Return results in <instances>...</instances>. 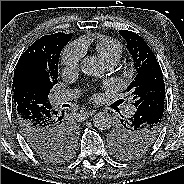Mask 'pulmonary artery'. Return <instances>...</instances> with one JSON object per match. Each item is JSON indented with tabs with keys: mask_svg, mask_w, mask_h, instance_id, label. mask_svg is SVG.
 I'll list each match as a JSON object with an SVG mask.
<instances>
[{
	"mask_svg": "<svg viewBox=\"0 0 184 184\" xmlns=\"http://www.w3.org/2000/svg\"><path fill=\"white\" fill-rule=\"evenodd\" d=\"M116 65V62H110V63H107V67L109 69H112L114 66ZM73 97H75V92L73 91H68V90H64V91H59V92H56L54 95H53V98H52V102L54 105H60V104H63L69 100H71ZM136 111V108L135 106L133 105H129L127 107V113L128 114H133L134 112Z\"/></svg>",
	"mask_w": 184,
	"mask_h": 184,
	"instance_id": "1",
	"label": "pulmonary artery"
}]
</instances>
